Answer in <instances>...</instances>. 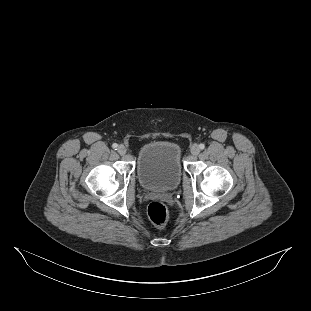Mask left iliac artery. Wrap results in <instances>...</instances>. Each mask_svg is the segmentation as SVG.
<instances>
[{
  "instance_id": "1",
  "label": "left iliac artery",
  "mask_w": 311,
  "mask_h": 311,
  "mask_svg": "<svg viewBox=\"0 0 311 311\" xmlns=\"http://www.w3.org/2000/svg\"><path fill=\"white\" fill-rule=\"evenodd\" d=\"M199 148L202 150V149L205 148V145H204L203 143H201V144L199 145Z\"/></svg>"
}]
</instances>
